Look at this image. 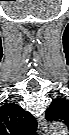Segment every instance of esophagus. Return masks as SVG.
<instances>
[{
  "label": "esophagus",
  "instance_id": "1",
  "mask_svg": "<svg viewBox=\"0 0 69 135\" xmlns=\"http://www.w3.org/2000/svg\"><path fill=\"white\" fill-rule=\"evenodd\" d=\"M38 127L41 133L47 131V122L43 115L39 116L38 118Z\"/></svg>",
  "mask_w": 69,
  "mask_h": 135
}]
</instances>
